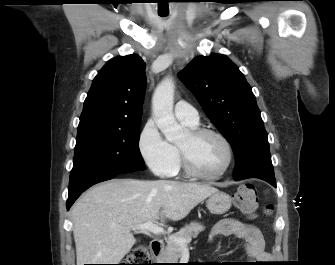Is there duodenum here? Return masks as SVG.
Masks as SVG:
<instances>
[{"mask_svg":"<svg viewBox=\"0 0 335 265\" xmlns=\"http://www.w3.org/2000/svg\"><path fill=\"white\" fill-rule=\"evenodd\" d=\"M164 247V242L162 239H154L152 240V242L150 243V250H151V254L154 258L158 257L161 253V251L163 250Z\"/></svg>","mask_w":335,"mask_h":265,"instance_id":"obj_1","label":"duodenum"}]
</instances>
